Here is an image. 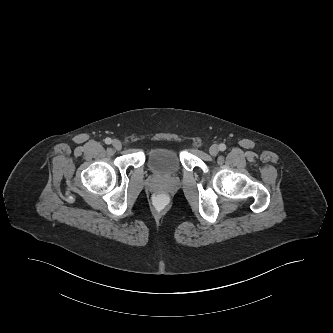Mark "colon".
Here are the masks:
<instances>
[{
    "mask_svg": "<svg viewBox=\"0 0 333 333\" xmlns=\"http://www.w3.org/2000/svg\"><path fill=\"white\" fill-rule=\"evenodd\" d=\"M169 203V196L163 191H158L154 193L151 204L155 210H164Z\"/></svg>",
    "mask_w": 333,
    "mask_h": 333,
    "instance_id": "colon-1",
    "label": "colon"
}]
</instances>
